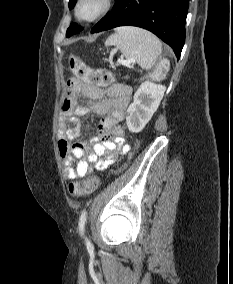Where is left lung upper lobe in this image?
<instances>
[{
  "label": "left lung upper lobe",
  "instance_id": "5c2ea615",
  "mask_svg": "<svg viewBox=\"0 0 233 284\" xmlns=\"http://www.w3.org/2000/svg\"><path fill=\"white\" fill-rule=\"evenodd\" d=\"M77 0H70L69 1V9H72ZM82 28L78 27L75 23H72L70 27L67 29L66 37H70L76 33H78Z\"/></svg>",
  "mask_w": 233,
  "mask_h": 284
}]
</instances>
